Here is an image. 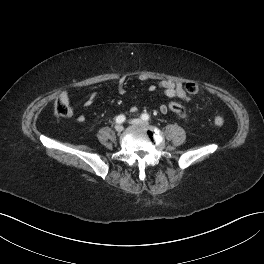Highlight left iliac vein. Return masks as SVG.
I'll return each mask as SVG.
<instances>
[{"label":"left iliac vein","mask_w":264,"mask_h":264,"mask_svg":"<svg viewBox=\"0 0 264 264\" xmlns=\"http://www.w3.org/2000/svg\"><path fill=\"white\" fill-rule=\"evenodd\" d=\"M130 122L135 125H147L148 124L147 122L141 119H132Z\"/></svg>","instance_id":"1"}]
</instances>
